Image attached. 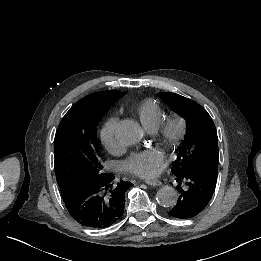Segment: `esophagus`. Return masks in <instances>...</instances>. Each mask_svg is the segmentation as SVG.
Returning a JSON list of instances; mask_svg holds the SVG:
<instances>
[{"mask_svg":"<svg viewBox=\"0 0 261 261\" xmlns=\"http://www.w3.org/2000/svg\"><path fill=\"white\" fill-rule=\"evenodd\" d=\"M145 183L150 186H161L162 185V182L160 180H156V179L146 180Z\"/></svg>","mask_w":261,"mask_h":261,"instance_id":"34e87169","label":"esophagus"}]
</instances>
